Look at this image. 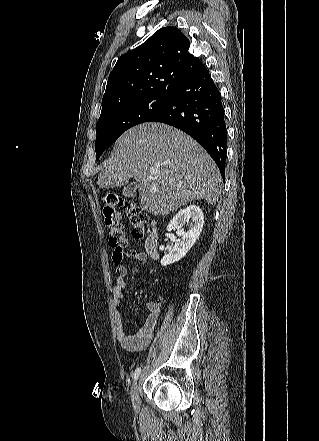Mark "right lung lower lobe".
I'll return each instance as SVG.
<instances>
[{"instance_id": "right-lung-lower-lobe-1", "label": "right lung lower lobe", "mask_w": 319, "mask_h": 441, "mask_svg": "<svg viewBox=\"0 0 319 441\" xmlns=\"http://www.w3.org/2000/svg\"><path fill=\"white\" fill-rule=\"evenodd\" d=\"M148 121L162 122L189 134L206 149L224 175L227 144L224 109L220 92L205 67L184 81L166 107Z\"/></svg>"}]
</instances>
